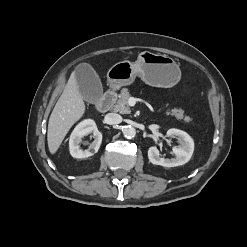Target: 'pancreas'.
<instances>
[{
  "mask_svg": "<svg viewBox=\"0 0 247 247\" xmlns=\"http://www.w3.org/2000/svg\"><path fill=\"white\" fill-rule=\"evenodd\" d=\"M130 98V93L127 88H123L119 95V99L117 100L116 104L114 105V111L122 113V114H129L131 112L130 106L128 104V100ZM167 115L174 116L177 120L183 119L184 122L188 123L192 121V118L189 116L184 115V111L182 109L174 108L172 110L166 111Z\"/></svg>",
  "mask_w": 247,
  "mask_h": 247,
  "instance_id": "cf45deb5",
  "label": "pancreas"
}]
</instances>
